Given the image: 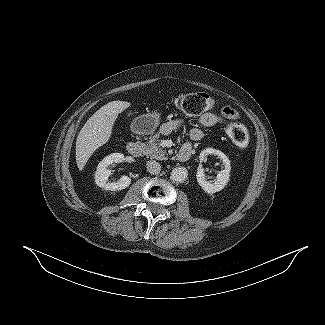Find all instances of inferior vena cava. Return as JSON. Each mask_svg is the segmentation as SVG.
Returning a JSON list of instances; mask_svg holds the SVG:
<instances>
[{
  "mask_svg": "<svg viewBox=\"0 0 325 325\" xmlns=\"http://www.w3.org/2000/svg\"><path fill=\"white\" fill-rule=\"evenodd\" d=\"M147 171L151 174H158L161 170L160 164L155 160L147 161Z\"/></svg>",
  "mask_w": 325,
  "mask_h": 325,
  "instance_id": "1",
  "label": "inferior vena cava"
}]
</instances>
